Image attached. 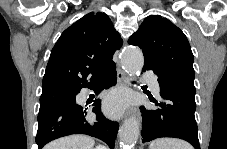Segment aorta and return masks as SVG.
<instances>
[{"mask_svg": "<svg viewBox=\"0 0 227 149\" xmlns=\"http://www.w3.org/2000/svg\"><path fill=\"white\" fill-rule=\"evenodd\" d=\"M121 63L130 76H135L143 68L144 57L142 51L137 47H127L121 55ZM139 137V124L132 117L124 121L119 130L120 144L123 149H132Z\"/></svg>", "mask_w": 227, "mask_h": 149, "instance_id": "1", "label": "aorta"}]
</instances>
